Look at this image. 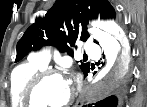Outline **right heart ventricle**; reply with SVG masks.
<instances>
[{"mask_svg":"<svg viewBox=\"0 0 147 107\" xmlns=\"http://www.w3.org/2000/svg\"><path fill=\"white\" fill-rule=\"evenodd\" d=\"M45 66L32 60L15 67L11 73L9 96L12 107H26L24 92L32 77Z\"/></svg>","mask_w":147,"mask_h":107,"instance_id":"e07e8e85","label":"right heart ventricle"}]
</instances>
